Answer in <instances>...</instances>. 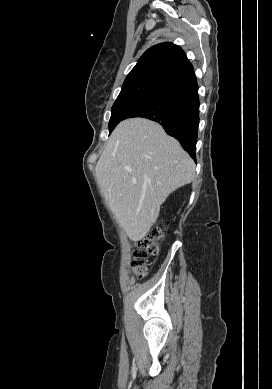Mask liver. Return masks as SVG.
<instances>
[{
	"label": "liver",
	"instance_id": "liver-1",
	"mask_svg": "<svg viewBox=\"0 0 272 389\" xmlns=\"http://www.w3.org/2000/svg\"><path fill=\"white\" fill-rule=\"evenodd\" d=\"M111 211L126 235L143 239L170 193L195 177V163L158 123L144 118L120 122L96 165Z\"/></svg>",
	"mask_w": 272,
	"mask_h": 389
}]
</instances>
